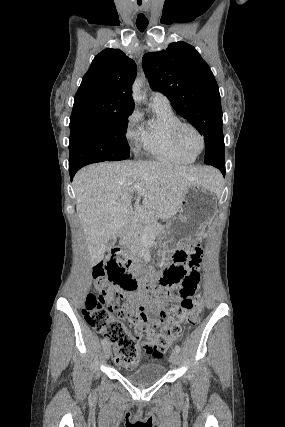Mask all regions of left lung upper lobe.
I'll use <instances>...</instances> for the list:
<instances>
[{
    "label": "left lung upper lobe",
    "mask_w": 285,
    "mask_h": 427,
    "mask_svg": "<svg viewBox=\"0 0 285 427\" xmlns=\"http://www.w3.org/2000/svg\"><path fill=\"white\" fill-rule=\"evenodd\" d=\"M142 66L151 88L164 94L178 114L204 137V162L224 157L222 108L217 82L198 51L185 42L143 56Z\"/></svg>",
    "instance_id": "1"
}]
</instances>
